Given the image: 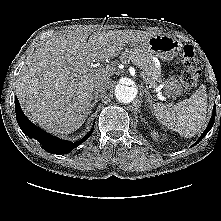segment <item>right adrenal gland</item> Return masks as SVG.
I'll return each mask as SVG.
<instances>
[{"mask_svg": "<svg viewBox=\"0 0 221 221\" xmlns=\"http://www.w3.org/2000/svg\"><path fill=\"white\" fill-rule=\"evenodd\" d=\"M97 102H98V100L95 99V101L91 104V110H92V108L96 105ZM91 110H90V113H91Z\"/></svg>", "mask_w": 221, "mask_h": 221, "instance_id": "1", "label": "right adrenal gland"}]
</instances>
